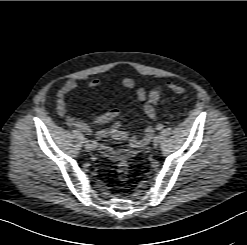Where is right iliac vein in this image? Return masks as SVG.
Segmentation results:
<instances>
[{
  "label": "right iliac vein",
  "instance_id": "right-iliac-vein-1",
  "mask_svg": "<svg viewBox=\"0 0 247 245\" xmlns=\"http://www.w3.org/2000/svg\"><path fill=\"white\" fill-rule=\"evenodd\" d=\"M84 143H85V149H86L87 151H92V150H94V149H92V148L89 147L88 141H84Z\"/></svg>",
  "mask_w": 247,
  "mask_h": 245
}]
</instances>
